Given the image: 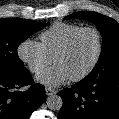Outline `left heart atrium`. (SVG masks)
<instances>
[{"mask_svg":"<svg viewBox=\"0 0 119 119\" xmlns=\"http://www.w3.org/2000/svg\"><path fill=\"white\" fill-rule=\"evenodd\" d=\"M37 80L47 86L57 87L70 80V76L61 66L54 65L42 71Z\"/></svg>","mask_w":119,"mask_h":119,"instance_id":"obj_1","label":"left heart atrium"}]
</instances>
